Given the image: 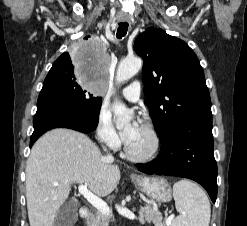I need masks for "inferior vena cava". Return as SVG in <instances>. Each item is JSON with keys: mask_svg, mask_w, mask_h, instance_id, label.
I'll return each instance as SVG.
<instances>
[{"mask_svg": "<svg viewBox=\"0 0 247 226\" xmlns=\"http://www.w3.org/2000/svg\"><path fill=\"white\" fill-rule=\"evenodd\" d=\"M104 150H106V149H104ZM107 158H108V159H113V156H112L111 154H108V155H107Z\"/></svg>", "mask_w": 247, "mask_h": 226, "instance_id": "602c4592", "label": "inferior vena cava"}]
</instances>
